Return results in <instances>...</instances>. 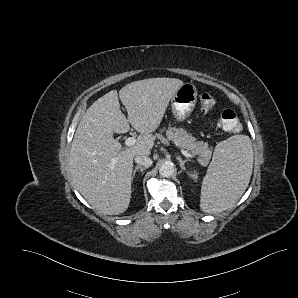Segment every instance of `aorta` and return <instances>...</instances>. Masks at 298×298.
<instances>
[{
  "mask_svg": "<svg viewBox=\"0 0 298 298\" xmlns=\"http://www.w3.org/2000/svg\"><path fill=\"white\" fill-rule=\"evenodd\" d=\"M175 172L174 165L172 163H163L159 168V174L162 177L169 178Z\"/></svg>",
  "mask_w": 298,
  "mask_h": 298,
  "instance_id": "obj_1",
  "label": "aorta"
}]
</instances>
